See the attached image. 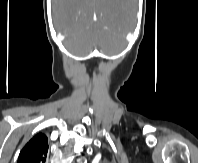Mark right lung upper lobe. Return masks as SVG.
Wrapping results in <instances>:
<instances>
[{"label": "right lung upper lobe", "instance_id": "cb5924a9", "mask_svg": "<svg viewBox=\"0 0 198 163\" xmlns=\"http://www.w3.org/2000/svg\"><path fill=\"white\" fill-rule=\"evenodd\" d=\"M48 152L47 137L35 135L21 150L17 163H45Z\"/></svg>", "mask_w": 198, "mask_h": 163}]
</instances>
